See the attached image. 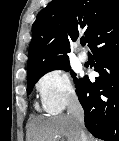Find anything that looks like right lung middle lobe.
Wrapping results in <instances>:
<instances>
[{
	"label": "right lung middle lobe",
	"mask_w": 119,
	"mask_h": 141,
	"mask_svg": "<svg viewBox=\"0 0 119 141\" xmlns=\"http://www.w3.org/2000/svg\"><path fill=\"white\" fill-rule=\"evenodd\" d=\"M55 69H62V70H66L69 71L70 70V65L69 63L53 68V69H49V70H44V71H39L30 75H27V93L30 94L35 83L47 72L55 70ZM70 73L72 75V77L74 78V81L77 82V79L75 78L76 73L73 72L72 70H70Z\"/></svg>",
	"instance_id": "obj_1"
}]
</instances>
